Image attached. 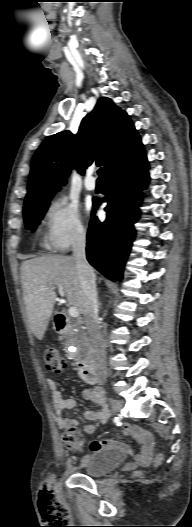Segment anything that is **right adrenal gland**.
I'll use <instances>...</instances> for the list:
<instances>
[{
    "label": "right adrenal gland",
    "mask_w": 192,
    "mask_h": 527,
    "mask_svg": "<svg viewBox=\"0 0 192 527\" xmlns=\"http://www.w3.org/2000/svg\"><path fill=\"white\" fill-rule=\"evenodd\" d=\"M98 305H99V307H100V306H101V303H100V302H98Z\"/></svg>",
    "instance_id": "right-adrenal-gland-1"
}]
</instances>
